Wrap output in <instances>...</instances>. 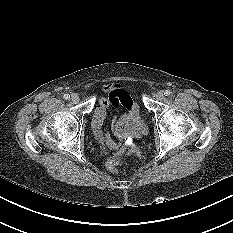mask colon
<instances>
[{"label": "colon", "instance_id": "5ec220e1", "mask_svg": "<svg viewBox=\"0 0 233 233\" xmlns=\"http://www.w3.org/2000/svg\"><path fill=\"white\" fill-rule=\"evenodd\" d=\"M121 162V158L119 156H115L107 160L106 166L109 170L117 172Z\"/></svg>", "mask_w": 233, "mask_h": 233}]
</instances>
